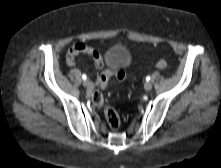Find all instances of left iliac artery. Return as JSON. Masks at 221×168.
<instances>
[{"mask_svg":"<svg viewBox=\"0 0 221 168\" xmlns=\"http://www.w3.org/2000/svg\"><path fill=\"white\" fill-rule=\"evenodd\" d=\"M150 79H151L150 76H147V77H146V81H147V82L150 81Z\"/></svg>","mask_w":221,"mask_h":168,"instance_id":"left-iliac-artery-1","label":"left iliac artery"}]
</instances>
